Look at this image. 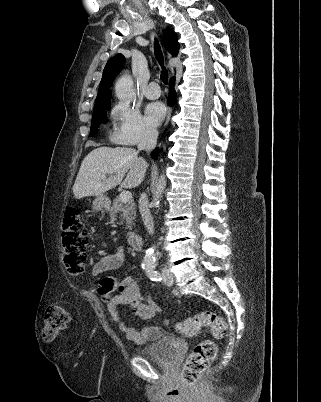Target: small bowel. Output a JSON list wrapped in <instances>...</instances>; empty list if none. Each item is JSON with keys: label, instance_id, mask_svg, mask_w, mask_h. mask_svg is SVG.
I'll return each instance as SVG.
<instances>
[{"label": "small bowel", "instance_id": "obj_1", "mask_svg": "<svg viewBox=\"0 0 321 402\" xmlns=\"http://www.w3.org/2000/svg\"><path fill=\"white\" fill-rule=\"evenodd\" d=\"M124 261V250L117 247L114 252L102 255L93 265L92 273L101 275L119 268ZM98 291L101 294L110 318L117 323L126 339L137 344L152 342L159 337L160 328L156 325L140 329L129 326L121 318L118 307L126 306L128 310L141 319H152L161 311L160 307L141 291L137 282L127 277L120 282L113 279L102 280Z\"/></svg>", "mask_w": 321, "mask_h": 402}]
</instances>
